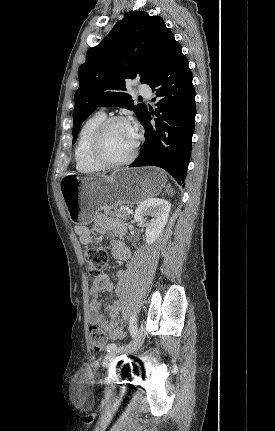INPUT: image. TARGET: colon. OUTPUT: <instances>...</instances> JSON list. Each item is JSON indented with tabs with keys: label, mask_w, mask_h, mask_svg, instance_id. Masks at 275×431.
<instances>
[{
	"label": "colon",
	"mask_w": 275,
	"mask_h": 431,
	"mask_svg": "<svg viewBox=\"0 0 275 431\" xmlns=\"http://www.w3.org/2000/svg\"><path fill=\"white\" fill-rule=\"evenodd\" d=\"M85 260L89 273L94 277H98L101 275L108 262V254L104 249L90 248L85 253ZM89 339L92 347L96 351L104 349L107 344L106 333L101 326L97 324H92L89 327Z\"/></svg>",
	"instance_id": "colon-1"
}]
</instances>
